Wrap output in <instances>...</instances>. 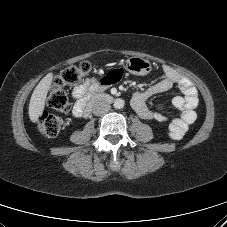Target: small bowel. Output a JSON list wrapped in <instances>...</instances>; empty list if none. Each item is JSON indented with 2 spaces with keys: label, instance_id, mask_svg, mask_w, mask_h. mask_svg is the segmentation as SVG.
<instances>
[{
  "label": "small bowel",
  "instance_id": "c3829d8e",
  "mask_svg": "<svg viewBox=\"0 0 227 227\" xmlns=\"http://www.w3.org/2000/svg\"><path fill=\"white\" fill-rule=\"evenodd\" d=\"M164 78L151 85L143 91L136 92L131 100V105L135 113L144 120L167 121L166 114L155 112L148 108L146 101L149 97L168 91L176 84L182 92V96L172 99V106L179 111V117L171 121L168 135L173 140L181 139L188 130V127L196 119L195 109L198 106V92L192 81L177 73L172 67L163 66ZM123 71L115 69L110 71L100 81L90 80L76 86L72 92L76 99L73 115L82 116V107L87 97L95 92L107 89L122 77Z\"/></svg>",
  "mask_w": 227,
  "mask_h": 227
}]
</instances>
